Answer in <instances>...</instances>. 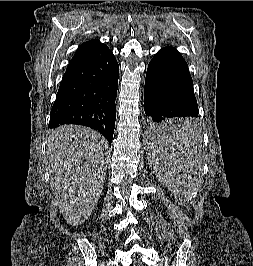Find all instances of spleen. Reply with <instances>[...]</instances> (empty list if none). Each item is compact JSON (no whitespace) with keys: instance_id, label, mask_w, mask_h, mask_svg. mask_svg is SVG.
<instances>
[{"instance_id":"3e777b00","label":"spleen","mask_w":253,"mask_h":266,"mask_svg":"<svg viewBox=\"0 0 253 266\" xmlns=\"http://www.w3.org/2000/svg\"><path fill=\"white\" fill-rule=\"evenodd\" d=\"M148 129L150 138L145 153L154 173L163 174V181L182 201L201 182L194 124L189 123L188 117H164L163 123H149Z\"/></svg>"}]
</instances>
